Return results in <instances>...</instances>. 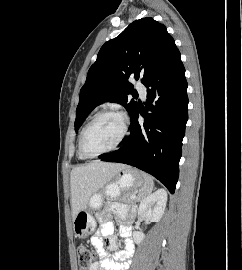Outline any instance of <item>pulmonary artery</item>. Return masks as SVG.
Here are the masks:
<instances>
[{
    "label": "pulmonary artery",
    "instance_id": "pulmonary-artery-1",
    "mask_svg": "<svg viewBox=\"0 0 242 270\" xmlns=\"http://www.w3.org/2000/svg\"><path fill=\"white\" fill-rule=\"evenodd\" d=\"M136 89L142 98L146 97V87L142 83H137Z\"/></svg>",
    "mask_w": 242,
    "mask_h": 270
}]
</instances>
